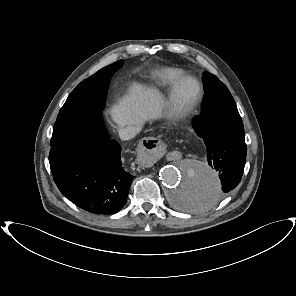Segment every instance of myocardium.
<instances>
[{"label":"myocardium","mask_w":296,"mask_h":296,"mask_svg":"<svg viewBox=\"0 0 296 296\" xmlns=\"http://www.w3.org/2000/svg\"><path fill=\"white\" fill-rule=\"evenodd\" d=\"M191 81L196 85V93L193 97L187 100L181 99L179 96V90L181 86L187 82ZM203 94L202 85L197 78L190 75H184L175 81L169 91L168 102L171 111L174 114H185L189 112L195 105L200 101Z\"/></svg>","instance_id":"myocardium-1"}]
</instances>
